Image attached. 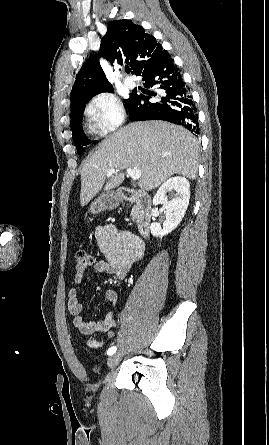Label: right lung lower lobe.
Returning a JSON list of instances; mask_svg holds the SVG:
<instances>
[{"label": "right lung lower lobe", "mask_w": 269, "mask_h": 445, "mask_svg": "<svg viewBox=\"0 0 269 445\" xmlns=\"http://www.w3.org/2000/svg\"><path fill=\"white\" fill-rule=\"evenodd\" d=\"M145 87H156L157 93L134 94L129 114L133 121L164 120L181 125L195 136L199 134L198 115L189 88L173 64L169 53L149 65L141 74ZM156 97L157 101L150 102Z\"/></svg>", "instance_id": "1"}]
</instances>
